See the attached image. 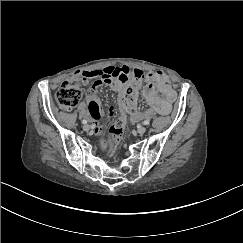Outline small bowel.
<instances>
[{"label":"small bowel","mask_w":243,"mask_h":243,"mask_svg":"<svg viewBox=\"0 0 243 243\" xmlns=\"http://www.w3.org/2000/svg\"><path fill=\"white\" fill-rule=\"evenodd\" d=\"M130 73V69L126 66H108L97 70L84 71L80 74L79 83L82 85H86L90 80L96 79L87 97L88 109L94 120L98 121L104 115L99 103L97 88L105 83L113 89L119 90L122 86V81L127 79ZM136 73L141 74L144 81L147 82L143 95L148 104L161 115L169 114L176 93L167 76L161 71L143 72L138 70ZM107 114L110 117L114 115L113 107L108 108ZM98 130L99 128L97 127L96 131Z\"/></svg>","instance_id":"c3829d8e"}]
</instances>
